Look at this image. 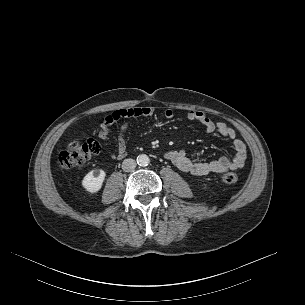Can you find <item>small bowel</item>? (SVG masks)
<instances>
[{
	"label": "small bowel",
	"instance_id": "c3829d8e",
	"mask_svg": "<svg viewBox=\"0 0 305 305\" xmlns=\"http://www.w3.org/2000/svg\"><path fill=\"white\" fill-rule=\"evenodd\" d=\"M154 115V109L149 106L118 109L107 115L98 129V136L104 141L109 138L111 126L118 121L124 120L118 133L116 151L111 154V157L122 159L127 155L125 134L129 129L131 120L135 118H152ZM164 116L166 119H172L174 113L172 110H166ZM186 117L190 122L200 123L207 133L217 132L222 137L231 140L234 153L231 158L221 157L210 162H194L184 150L167 151L164 157L171 161L180 171L192 177H203L213 173L235 170L244 165L247 158L246 146L237 137L233 128L224 122H214L207 114L201 111H190Z\"/></svg>",
	"mask_w": 305,
	"mask_h": 305
}]
</instances>
